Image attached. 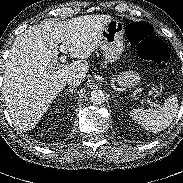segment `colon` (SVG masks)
Instances as JSON below:
<instances>
[{
  "label": "colon",
  "instance_id": "colon-1",
  "mask_svg": "<svg viewBox=\"0 0 183 183\" xmlns=\"http://www.w3.org/2000/svg\"><path fill=\"white\" fill-rule=\"evenodd\" d=\"M126 37L129 43L136 47L138 54L143 59L150 61L161 68L170 61L168 46L157 36L153 35L149 24L133 22L126 27Z\"/></svg>",
  "mask_w": 183,
  "mask_h": 183
}]
</instances>
